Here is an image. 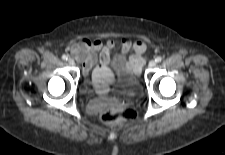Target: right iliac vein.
<instances>
[{"mask_svg":"<svg viewBox=\"0 0 225 155\" xmlns=\"http://www.w3.org/2000/svg\"><path fill=\"white\" fill-rule=\"evenodd\" d=\"M68 63L72 66L75 65V61L72 58L68 59Z\"/></svg>","mask_w":225,"mask_h":155,"instance_id":"1","label":"right iliac vein"}]
</instances>
